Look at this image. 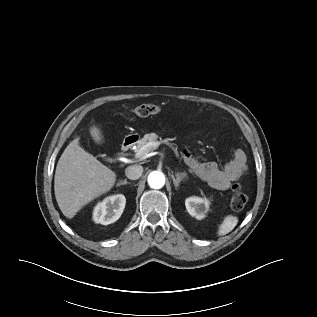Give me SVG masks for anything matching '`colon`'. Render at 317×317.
<instances>
[{"instance_id": "colon-1", "label": "colon", "mask_w": 317, "mask_h": 317, "mask_svg": "<svg viewBox=\"0 0 317 317\" xmlns=\"http://www.w3.org/2000/svg\"><path fill=\"white\" fill-rule=\"evenodd\" d=\"M161 110L157 104H142L135 107L132 113L138 117H148L159 113ZM245 171L241 175H244ZM248 202V196L243 192L241 183L232 186L231 208L235 211L242 210Z\"/></svg>"}]
</instances>
